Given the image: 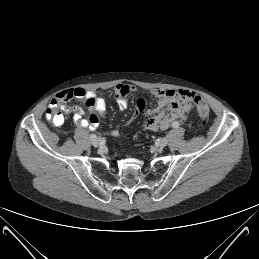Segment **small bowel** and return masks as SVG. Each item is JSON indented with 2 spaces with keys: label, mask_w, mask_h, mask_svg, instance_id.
Returning <instances> with one entry per match:
<instances>
[{
  "label": "small bowel",
  "mask_w": 259,
  "mask_h": 259,
  "mask_svg": "<svg viewBox=\"0 0 259 259\" xmlns=\"http://www.w3.org/2000/svg\"><path fill=\"white\" fill-rule=\"evenodd\" d=\"M136 89L129 84H118L114 88V96L120 109L129 105L128 95ZM152 95L158 99L157 105L148 109L144 114V127L151 131L166 130L177 120H185L192 110V101L196 95L187 89L153 90ZM72 98L84 99L91 112L88 119L83 118V111L79 106L66 105ZM57 103L66 113L73 114L77 126L95 129L101 120L106 118V101L97 97L93 91L75 88L59 93L51 104ZM113 136L118 135L117 130L112 131Z\"/></svg>",
  "instance_id": "1"
}]
</instances>
